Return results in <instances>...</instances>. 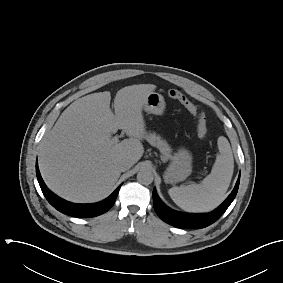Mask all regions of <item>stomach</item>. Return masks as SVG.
<instances>
[{
  "label": "stomach",
  "instance_id": "0dacf381",
  "mask_svg": "<svg viewBox=\"0 0 283 283\" xmlns=\"http://www.w3.org/2000/svg\"><path fill=\"white\" fill-rule=\"evenodd\" d=\"M164 97L156 92L148 94L143 109L147 113L162 115L165 111ZM192 171V155L184 148L171 157V163L164 174L166 183H176L185 180Z\"/></svg>",
  "mask_w": 283,
  "mask_h": 283
}]
</instances>
